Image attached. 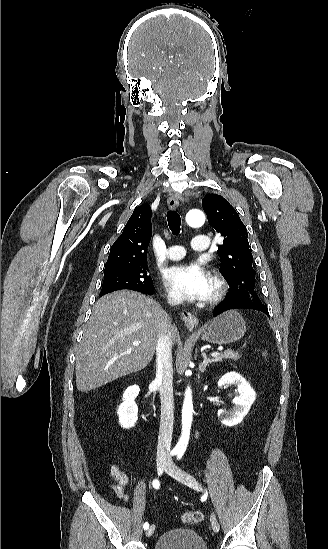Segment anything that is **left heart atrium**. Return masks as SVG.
<instances>
[{
    "label": "left heart atrium",
    "instance_id": "39dd6f15",
    "mask_svg": "<svg viewBox=\"0 0 328 549\" xmlns=\"http://www.w3.org/2000/svg\"><path fill=\"white\" fill-rule=\"evenodd\" d=\"M166 286L178 300H203L211 291L212 276L199 263L174 267L165 277Z\"/></svg>",
    "mask_w": 328,
    "mask_h": 549
}]
</instances>
